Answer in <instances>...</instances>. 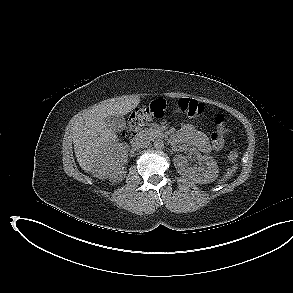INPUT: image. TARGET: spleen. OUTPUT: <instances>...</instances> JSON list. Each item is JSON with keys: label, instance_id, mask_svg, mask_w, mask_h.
I'll return each mask as SVG.
<instances>
[{"label": "spleen", "instance_id": "1", "mask_svg": "<svg viewBox=\"0 0 293 293\" xmlns=\"http://www.w3.org/2000/svg\"><path fill=\"white\" fill-rule=\"evenodd\" d=\"M237 167L233 166L232 168H229L226 172V174L224 175V177L220 180V183H222L223 181L228 180L236 171Z\"/></svg>", "mask_w": 293, "mask_h": 293}]
</instances>
